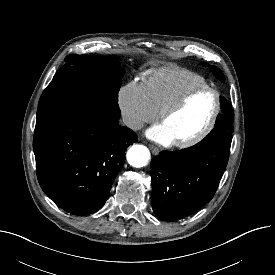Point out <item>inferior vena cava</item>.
I'll return each instance as SVG.
<instances>
[{"mask_svg": "<svg viewBox=\"0 0 275 275\" xmlns=\"http://www.w3.org/2000/svg\"><path fill=\"white\" fill-rule=\"evenodd\" d=\"M124 125L127 127L134 129V130H139L143 127V123L136 117L131 116V115H124L122 117Z\"/></svg>", "mask_w": 275, "mask_h": 275, "instance_id": "602c4592", "label": "inferior vena cava"}]
</instances>
